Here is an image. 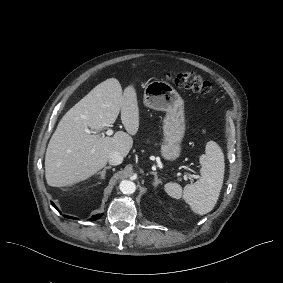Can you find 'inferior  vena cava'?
Instances as JSON below:
<instances>
[{"label":"inferior vena cava","instance_id":"obj_1","mask_svg":"<svg viewBox=\"0 0 283 283\" xmlns=\"http://www.w3.org/2000/svg\"><path fill=\"white\" fill-rule=\"evenodd\" d=\"M123 161V156L118 152H111L108 156V163L117 166Z\"/></svg>","mask_w":283,"mask_h":283}]
</instances>
